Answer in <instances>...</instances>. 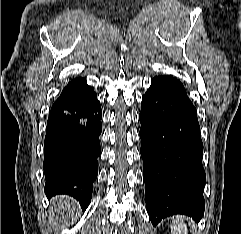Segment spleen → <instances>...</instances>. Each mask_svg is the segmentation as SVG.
Segmentation results:
<instances>
[{
    "label": "spleen",
    "mask_w": 241,
    "mask_h": 234,
    "mask_svg": "<svg viewBox=\"0 0 241 234\" xmlns=\"http://www.w3.org/2000/svg\"><path fill=\"white\" fill-rule=\"evenodd\" d=\"M171 234H188L185 220L182 217H175L172 220Z\"/></svg>",
    "instance_id": "obj_1"
}]
</instances>
